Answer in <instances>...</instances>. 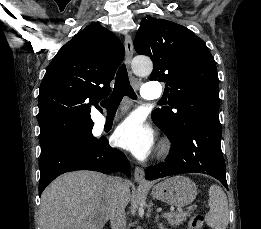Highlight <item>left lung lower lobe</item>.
I'll return each instance as SVG.
<instances>
[{
    "label": "left lung lower lobe",
    "mask_w": 261,
    "mask_h": 229,
    "mask_svg": "<svg viewBox=\"0 0 261 229\" xmlns=\"http://www.w3.org/2000/svg\"><path fill=\"white\" fill-rule=\"evenodd\" d=\"M172 148L165 162L146 168V179L203 173L218 179L227 189L226 168L221 151V128L207 121L189 122L177 138L168 137Z\"/></svg>",
    "instance_id": "left-lung-lower-lobe-1"
}]
</instances>
